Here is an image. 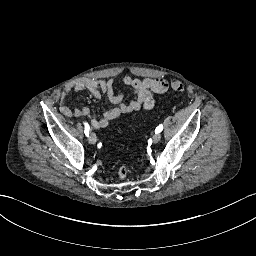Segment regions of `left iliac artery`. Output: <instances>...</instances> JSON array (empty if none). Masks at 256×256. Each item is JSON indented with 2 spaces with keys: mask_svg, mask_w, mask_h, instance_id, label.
Wrapping results in <instances>:
<instances>
[{
  "mask_svg": "<svg viewBox=\"0 0 256 256\" xmlns=\"http://www.w3.org/2000/svg\"><path fill=\"white\" fill-rule=\"evenodd\" d=\"M163 130V125L160 124L159 126L156 127L155 133H160Z\"/></svg>",
  "mask_w": 256,
  "mask_h": 256,
  "instance_id": "left-iliac-artery-1",
  "label": "left iliac artery"
}]
</instances>
